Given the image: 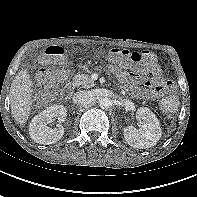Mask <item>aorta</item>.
Instances as JSON below:
<instances>
[{"label":"aorta","mask_w":197,"mask_h":197,"mask_svg":"<svg viewBox=\"0 0 197 197\" xmlns=\"http://www.w3.org/2000/svg\"><path fill=\"white\" fill-rule=\"evenodd\" d=\"M112 105V102L109 98L107 97H102L99 100V106L101 109H109Z\"/></svg>","instance_id":"obj_1"}]
</instances>
